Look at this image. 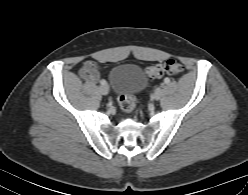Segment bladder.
Wrapping results in <instances>:
<instances>
[{
    "label": "bladder",
    "instance_id": "31cf9c89",
    "mask_svg": "<svg viewBox=\"0 0 248 195\" xmlns=\"http://www.w3.org/2000/svg\"><path fill=\"white\" fill-rule=\"evenodd\" d=\"M110 83L117 93L136 95L146 85V75L135 64H120L110 71Z\"/></svg>",
    "mask_w": 248,
    "mask_h": 195
}]
</instances>
